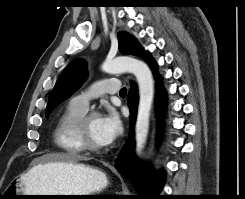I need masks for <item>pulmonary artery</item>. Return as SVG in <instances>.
<instances>
[{"label": "pulmonary artery", "mask_w": 245, "mask_h": 199, "mask_svg": "<svg viewBox=\"0 0 245 199\" xmlns=\"http://www.w3.org/2000/svg\"><path fill=\"white\" fill-rule=\"evenodd\" d=\"M120 89V81L117 79H105L95 83L89 91L71 99L70 103L84 111L87 110L89 101L98 95L115 94Z\"/></svg>", "instance_id": "pulmonary-artery-1"}]
</instances>
